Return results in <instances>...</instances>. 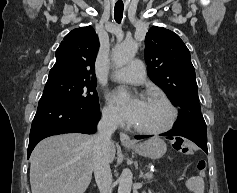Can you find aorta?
<instances>
[{"mask_svg": "<svg viewBox=\"0 0 237 193\" xmlns=\"http://www.w3.org/2000/svg\"><path fill=\"white\" fill-rule=\"evenodd\" d=\"M138 44L134 40L116 45L112 52V59L116 67H122L130 62L137 51ZM133 175L130 169H123L119 177L118 193H131Z\"/></svg>", "mask_w": 237, "mask_h": 193, "instance_id": "1", "label": "aorta"}]
</instances>
